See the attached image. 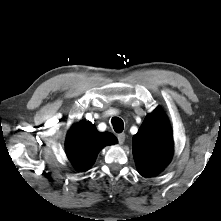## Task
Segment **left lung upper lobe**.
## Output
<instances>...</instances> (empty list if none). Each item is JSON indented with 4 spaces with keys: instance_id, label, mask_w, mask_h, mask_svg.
Segmentation results:
<instances>
[{
    "instance_id": "obj_1",
    "label": "left lung upper lobe",
    "mask_w": 221,
    "mask_h": 221,
    "mask_svg": "<svg viewBox=\"0 0 221 221\" xmlns=\"http://www.w3.org/2000/svg\"><path fill=\"white\" fill-rule=\"evenodd\" d=\"M133 153L139 173L152 177L162 171L173 154V137L160 107L148 115L133 136Z\"/></svg>"
}]
</instances>
